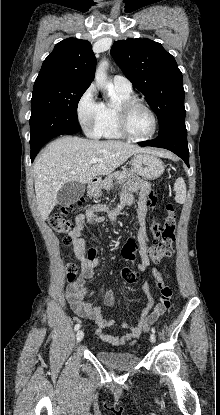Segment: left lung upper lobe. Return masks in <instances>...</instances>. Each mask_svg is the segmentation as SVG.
Wrapping results in <instances>:
<instances>
[{
    "mask_svg": "<svg viewBox=\"0 0 220 415\" xmlns=\"http://www.w3.org/2000/svg\"><path fill=\"white\" fill-rule=\"evenodd\" d=\"M111 55L156 113L159 133L185 120L182 73L174 57L160 43L149 39L114 42Z\"/></svg>",
    "mask_w": 220,
    "mask_h": 415,
    "instance_id": "1",
    "label": "left lung upper lobe"
}]
</instances>
